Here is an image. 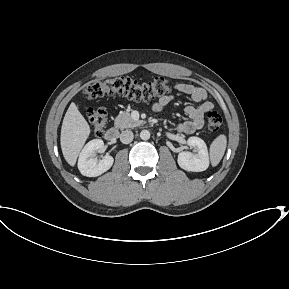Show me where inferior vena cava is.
I'll return each instance as SVG.
<instances>
[{"instance_id":"602c4592","label":"inferior vena cava","mask_w":289,"mask_h":289,"mask_svg":"<svg viewBox=\"0 0 289 289\" xmlns=\"http://www.w3.org/2000/svg\"><path fill=\"white\" fill-rule=\"evenodd\" d=\"M133 137L134 135L132 131L125 130V131H122L120 134V141L124 144H129L132 142Z\"/></svg>"}]
</instances>
